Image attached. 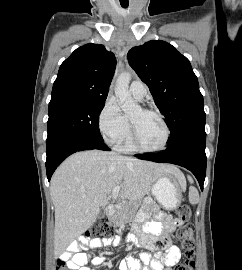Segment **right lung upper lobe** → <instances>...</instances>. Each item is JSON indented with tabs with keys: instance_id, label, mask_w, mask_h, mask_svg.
Instances as JSON below:
<instances>
[{
	"instance_id": "1",
	"label": "right lung upper lobe",
	"mask_w": 242,
	"mask_h": 270,
	"mask_svg": "<svg viewBox=\"0 0 242 270\" xmlns=\"http://www.w3.org/2000/svg\"><path fill=\"white\" fill-rule=\"evenodd\" d=\"M116 59L103 45L77 48L60 66L49 106L68 102H105Z\"/></svg>"
}]
</instances>
